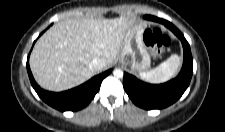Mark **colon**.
Returning a JSON list of instances; mask_svg holds the SVG:
<instances>
[{"mask_svg":"<svg viewBox=\"0 0 225 132\" xmlns=\"http://www.w3.org/2000/svg\"><path fill=\"white\" fill-rule=\"evenodd\" d=\"M143 40L156 57L166 53L170 47L169 38L158 29L146 30L143 35Z\"/></svg>","mask_w":225,"mask_h":132,"instance_id":"obj_1","label":"colon"}]
</instances>
